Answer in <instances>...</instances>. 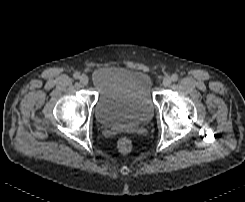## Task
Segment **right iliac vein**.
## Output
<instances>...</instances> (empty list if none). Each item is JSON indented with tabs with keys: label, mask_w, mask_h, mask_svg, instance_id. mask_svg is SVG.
I'll use <instances>...</instances> for the list:
<instances>
[{
	"label": "right iliac vein",
	"mask_w": 245,
	"mask_h": 202,
	"mask_svg": "<svg viewBox=\"0 0 245 202\" xmlns=\"http://www.w3.org/2000/svg\"><path fill=\"white\" fill-rule=\"evenodd\" d=\"M88 81H89L88 76H86V75H81V76H80V83H81V84L87 85V84H88Z\"/></svg>",
	"instance_id": "right-iliac-vein-1"
}]
</instances>
